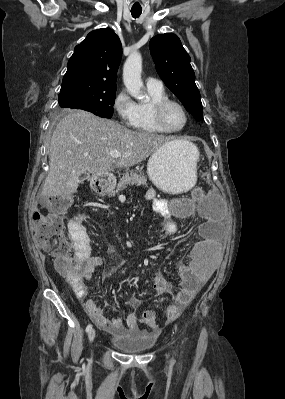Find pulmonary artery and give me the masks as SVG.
Instances as JSON below:
<instances>
[{"label": "pulmonary artery", "mask_w": 285, "mask_h": 399, "mask_svg": "<svg viewBox=\"0 0 285 399\" xmlns=\"http://www.w3.org/2000/svg\"><path fill=\"white\" fill-rule=\"evenodd\" d=\"M147 88H161L163 86L162 82L155 77H148L146 79Z\"/></svg>", "instance_id": "pulmonary-artery-1"}]
</instances>
